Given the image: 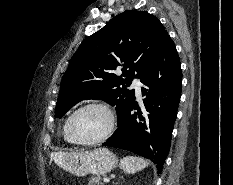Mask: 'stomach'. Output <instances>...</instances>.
Here are the masks:
<instances>
[{"label": "stomach", "instance_id": "1", "mask_svg": "<svg viewBox=\"0 0 233 185\" xmlns=\"http://www.w3.org/2000/svg\"><path fill=\"white\" fill-rule=\"evenodd\" d=\"M53 160L60 168L76 176L106 174L114 169L118 163L116 155L107 148L56 152L53 154Z\"/></svg>", "mask_w": 233, "mask_h": 185}]
</instances>
